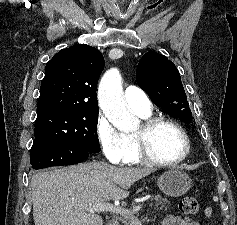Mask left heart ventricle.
I'll list each match as a JSON object with an SVG mask.
<instances>
[{"mask_svg": "<svg viewBox=\"0 0 237 225\" xmlns=\"http://www.w3.org/2000/svg\"><path fill=\"white\" fill-rule=\"evenodd\" d=\"M141 131V125L134 134ZM151 152L162 160H175L185 151V142L181 134L173 127L161 125L148 138Z\"/></svg>", "mask_w": 237, "mask_h": 225, "instance_id": "1", "label": "left heart ventricle"}]
</instances>
